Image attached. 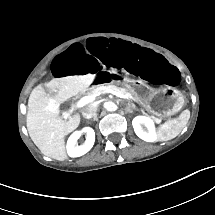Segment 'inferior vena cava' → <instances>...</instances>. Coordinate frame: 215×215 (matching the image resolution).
<instances>
[{
  "label": "inferior vena cava",
  "instance_id": "1",
  "mask_svg": "<svg viewBox=\"0 0 215 215\" xmlns=\"http://www.w3.org/2000/svg\"><path fill=\"white\" fill-rule=\"evenodd\" d=\"M97 112V107L94 105H87L82 109V115L85 119H92Z\"/></svg>",
  "mask_w": 215,
  "mask_h": 215
}]
</instances>
